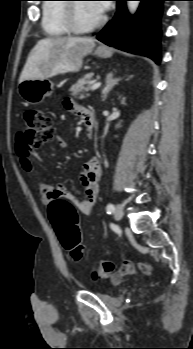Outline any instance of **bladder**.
<instances>
[{
    "mask_svg": "<svg viewBox=\"0 0 193 349\" xmlns=\"http://www.w3.org/2000/svg\"><path fill=\"white\" fill-rule=\"evenodd\" d=\"M100 297H101L102 299H106V298L108 297V294H102Z\"/></svg>",
    "mask_w": 193,
    "mask_h": 349,
    "instance_id": "31cf9c89",
    "label": "bladder"
}]
</instances>
